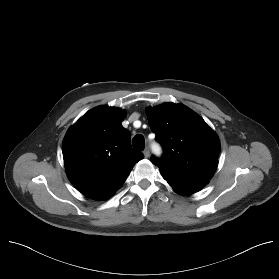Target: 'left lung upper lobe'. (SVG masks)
Listing matches in <instances>:
<instances>
[{
	"instance_id": "left-lung-upper-lobe-1",
	"label": "left lung upper lobe",
	"mask_w": 279,
	"mask_h": 279,
	"mask_svg": "<svg viewBox=\"0 0 279 279\" xmlns=\"http://www.w3.org/2000/svg\"><path fill=\"white\" fill-rule=\"evenodd\" d=\"M149 126L164 149L159 169L208 182L218 165L219 138L202 117L186 106L164 103L147 109Z\"/></svg>"
}]
</instances>
